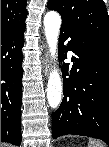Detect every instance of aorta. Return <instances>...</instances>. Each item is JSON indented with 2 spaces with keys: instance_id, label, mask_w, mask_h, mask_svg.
<instances>
[{
  "instance_id": "762f6f07",
  "label": "aorta",
  "mask_w": 109,
  "mask_h": 147,
  "mask_svg": "<svg viewBox=\"0 0 109 147\" xmlns=\"http://www.w3.org/2000/svg\"><path fill=\"white\" fill-rule=\"evenodd\" d=\"M61 17L56 11H49L44 16L45 36L51 57L57 59V46ZM62 98V81L57 69L52 70L47 85V100L51 108H57Z\"/></svg>"
}]
</instances>
